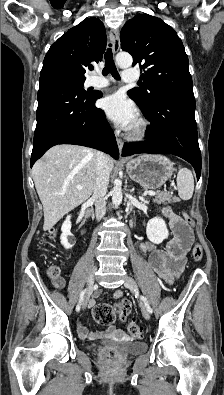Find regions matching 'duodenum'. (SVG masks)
<instances>
[{
    "label": "duodenum",
    "instance_id": "1",
    "mask_svg": "<svg viewBox=\"0 0 224 395\" xmlns=\"http://www.w3.org/2000/svg\"><path fill=\"white\" fill-rule=\"evenodd\" d=\"M88 214H89V209H86V210L82 211V212L79 214L78 220H79V223H80V224H83V223L86 221V219H87V217H88Z\"/></svg>",
    "mask_w": 224,
    "mask_h": 395
}]
</instances>
